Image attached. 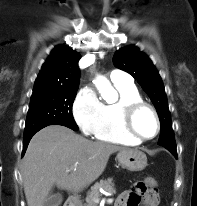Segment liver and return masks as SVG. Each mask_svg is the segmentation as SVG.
<instances>
[{
	"instance_id": "liver-1",
	"label": "liver",
	"mask_w": 197,
	"mask_h": 206,
	"mask_svg": "<svg viewBox=\"0 0 197 206\" xmlns=\"http://www.w3.org/2000/svg\"><path fill=\"white\" fill-rule=\"evenodd\" d=\"M122 150L129 149L90 141L64 126L41 129L31 139L22 162L28 206H44L53 185L80 191L103 173L112 153Z\"/></svg>"
}]
</instances>
